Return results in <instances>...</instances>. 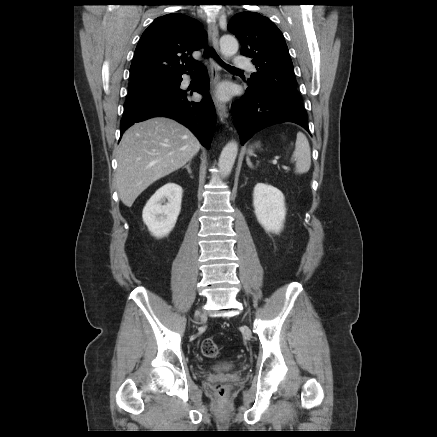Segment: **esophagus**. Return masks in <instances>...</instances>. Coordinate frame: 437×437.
<instances>
[{"label":"esophagus","instance_id":"34e87169","mask_svg":"<svg viewBox=\"0 0 437 437\" xmlns=\"http://www.w3.org/2000/svg\"><path fill=\"white\" fill-rule=\"evenodd\" d=\"M208 35H209L212 47L216 51H219V41H218L219 31H218L217 24L213 21L208 23ZM219 71H220L219 64L212 58L210 61V78H211V89H212V93H213V101H214L218 116H219L220 120L223 122L228 115L227 106L225 103L220 101L215 96V90H216L217 85H218L219 80H220Z\"/></svg>","mask_w":437,"mask_h":437}]
</instances>
